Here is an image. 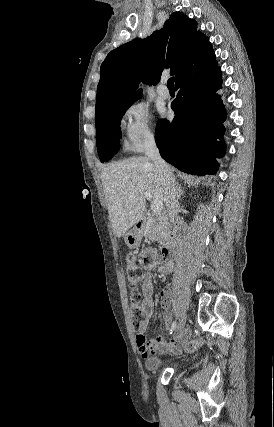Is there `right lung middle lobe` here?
<instances>
[{
    "label": "right lung middle lobe",
    "instance_id": "obj_1",
    "mask_svg": "<svg viewBox=\"0 0 274 427\" xmlns=\"http://www.w3.org/2000/svg\"><path fill=\"white\" fill-rule=\"evenodd\" d=\"M137 97L121 100L96 113V143L101 162L108 161L119 150L121 133L119 123Z\"/></svg>",
    "mask_w": 274,
    "mask_h": 427
}]
</instances>
